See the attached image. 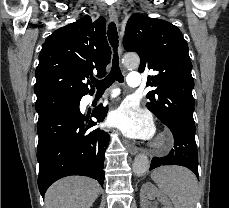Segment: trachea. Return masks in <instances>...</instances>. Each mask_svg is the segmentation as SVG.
<instances>
[{
  "instance_id": "trachea-1",
  "label": "trachea",
  "mask_w": 229,
  "mask_h": 208,
  "mask_svg": "<svg viewBox=\"0 0 229 208\" xmlns=\"http://www.w3.org/2000/svg\"><path fill=\"white\" fill-rule=\"evenodd\" d=\"M108 39L114 51L112 68L110 73L105 78H103V80L93 81V84L98 91H104L105 89L109 88L115 82V80L119 83L124 82V77L119 67V59L117 54L118 32L115 23H110L108 26Z\"/></svg>"
}]
</instances>
